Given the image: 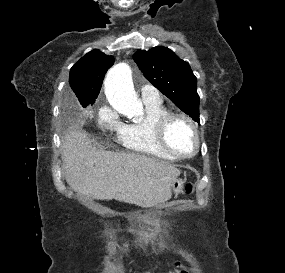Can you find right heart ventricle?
Masks as SVG:
<instances>
[{
  "mask_svg": "<svg viewBox=\"0 0 285 273\" xmlns=\"http://www.w3.org/2000/svg\"><path fill=\"white\" fill-rule=\"evenodd\" d=\"M144 104L145 115L142 118L119 125L116 130L119 143L135 152L166 159L176 158L160 144L156 134L158 120L169 110L162 101Z\"/></svg>",
  "mask_w": 285,
  "mask_h": 273,
  "instance_id": "1",
  "label": "right heart ventricle"
}]
</instances>
